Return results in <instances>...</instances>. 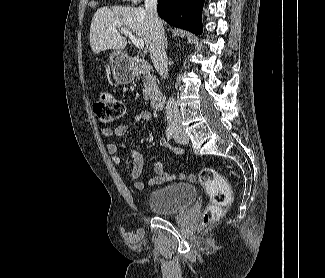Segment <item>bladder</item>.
Instances as JSON below:
<instances>
[{
  "instance_id": "31cf9c89",
  "label": "bladder",
  "mask_w": 325,
  "mask_h": 278,
  "mask_svg": "<svg viewBox=\"0 0 325 278\" xmlns=\"http://www.w3.org/2000/svg\"><path fill=\"white\" fill-rule=\"evenodd\" d=\"M197 197L190 183H171L150 192L147 204L156 215L165 216L182 212L192 205Z\"/></svg>"
}]
</instances>
